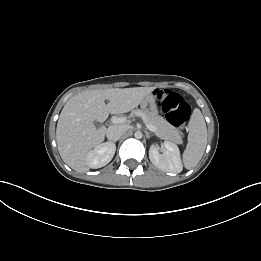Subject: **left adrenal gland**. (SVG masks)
I'll return each instance as SVG.
<instances>
[{"instance_id": "1", "label": "left adrenal gland", "mask_w": 261, "mask_h": 261, "mask_svg": "<svg viewBox=\"0 0 261 261\" xmlns=\"http://www.w3.org/2000/svg\"><path fill=\"white\" fill-rule=\"evenodd\" d=\"M146 135L149 137V134H148V132L146 131Z\"/></svg>"}]
</instances>
